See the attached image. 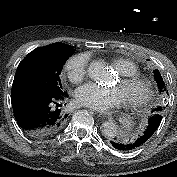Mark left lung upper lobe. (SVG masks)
<instances>
[{"instance_id": "1", "label": "left lung upper lobe", "mask_w": 177, "mask_h": 177, "mask_svg": "<svg viewBox=\"0 0 177 177\" xmlns=\"http://www.w3.org/2000/svg\"><path fill=\"white\" fill-rule=\"evenodd\" d=\"M155 80L158 85L160 97L165 98L166 94L168 95V90L166 89L167 84H165V82L163 81V78L158 70H155ZM161 111H162V107L159 113H161Z\"/></svg>"}]
</instances>
